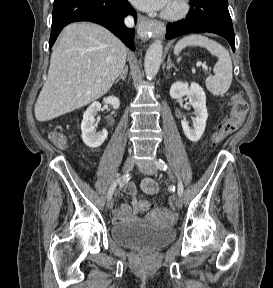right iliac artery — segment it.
<instances>
[{"instance_id": "82829eb1", "label": "right iliac artery", "mask_w": 273, "mask_h": 288, "mask_svg": "<svg viewBox=\"0 0 273 288\" xmlns=\"http://www.w3.org/2000/svg\"><path fill=\"white\" fill-rule=\"evenodd\" d=\"M130 179V174H125L123 175L122 177H118L114 182L113 184L111 185L109 191H108V195H107V198L108 200L112 198V195L117 187V185L121 182V181H124V182H127L129 181Z\"/></svg>"}]
</instances>
